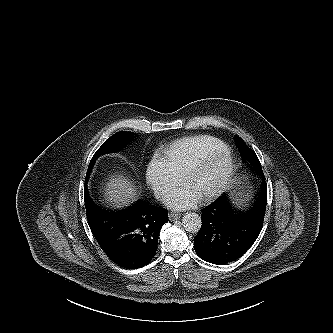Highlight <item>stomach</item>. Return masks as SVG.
Here are the masks:
<instances>
[{"label": "stomach", "instance_id": "1", "mask_svg": "<svg viewBox=\"0 0 333 333\" xmlns=\"http://www.w3.org/2000/svg\"><path fill=\"white\" fill-rule=\"evenodd\" d=\"M235 201L239 205H243L246 201H248L249 193L245 190H239L235 193Z\"/></svg>", "mask_w": 333, "mask_h": 333}]
</instances>
